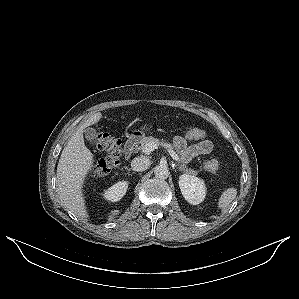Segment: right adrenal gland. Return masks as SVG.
<instances>
[{"label": "right adrenal gland", "instance_id": "obj_1", "mask_svg": "<svg viewBox=\"0 0 299 299\" xmlns=\"http://www.w3.org/2000/svg\"><path fill=\"white\" fill-rule=\"evenodd\" d=\"M125 169H127V171H128V172H130V171H131V169H130V168H125Z\"/></svg>", "mask_w": 299, "mask_h": 299}]
</instances>
